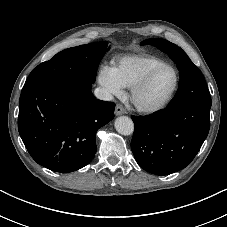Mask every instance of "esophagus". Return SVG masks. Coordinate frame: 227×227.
Returning a JSON list of instances; mask_svg holds the SVG:
<instances>
[{"mask_svg":"<svg viewBox=\"0 0 227 227\" xmlns=\"http://www.w3.org/2000/svg\"><path fill=\"white\" fill-rule=\"evenodd\" d=\"M126 113V110L124 109V107L120 104H117L115 107V115L119 116V115H123Z\"/></svg>","mask_w":227,"mask_h":227,"instance_id":"esophagus-1","label":"esophagus"}]
</instances>
